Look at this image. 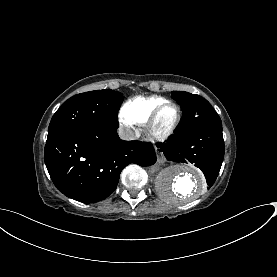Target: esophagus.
Wrapping results in <instances>:
<instances>
[{
    "instance_id": "obj_1",
    "label": "esophagus",
    "mask_w": 277,
    "mask_h": 277,
    "mask_svg": "<svg viewBox=\"0 0 277 277\" xmlns=\"http://www.w3.org/2000/svg\"><path fill=\"white\" fill-rule=\"evenodd\" d=\"M165 161V159L162 157V159L160 158L159 159V162H164Z\"/></svg>"
}]
</instances>
